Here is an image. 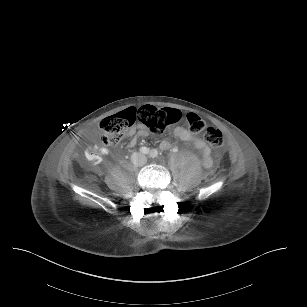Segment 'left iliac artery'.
Returning <instances> with one entry per match:
<instances>
[{
	"label": "left iliac artery",
	"instance_id": "44dca946",
	"mask_svg": "<svg viewBox=\"0 0 307 307\" xmlns=\"http://www.w3.org/2000/svg\"><path fill=\"white\" fill-rule=\"evenodd\" d=\"M149 155H150L151 158H156L159 154H158V151L156 149H153V150L150 151Z\"/></svg>",
	"mask_w": 307,
	"mask_h": 307
}]
</instances>
